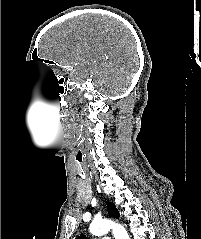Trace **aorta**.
Masks as SVG:
<instances>
[{
    "label": "aorta",
    "mask_w": 201,
    "mask_h": 239,
    "mask_svg": "<svg viewBox=\"0 0 201 239\" xmlns=\"http://www.w3.org/2000/svg\"><path fill=\"white\" fill-rule=\"evenodd\" d=\"M89 230L91 234L96 236H102L112 230L115 239H130L126 229L111 220L102 219L93 221L90 224Z\"/></svg>",
    "instance_id": "1"
}]
</instances>
